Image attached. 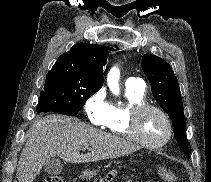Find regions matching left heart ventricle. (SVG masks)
<instances>
[{"instance_id":"b2bd125f","label":"left heart ventricle","mask_w":211,"mask_h":182,"mask_svg":"<svg viewBox=\"0 0 211 182\" xmlns=\"http://www.w3.org/2000/svg\"><path fill=\"white\" fill-rule=\"evenodd\" d=\"M138 130L142 139L150 143H157L165 137L167 126L158 112L148 110L140 116Z\"/></svg>"}]
</instances>
